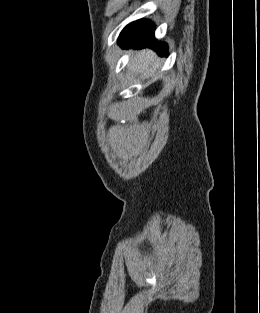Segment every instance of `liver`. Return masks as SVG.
<instances>
[{"label":"liver","mask_w":260,"mask_h":313,"mask_svg":"<svg viewBox=\"0 0 260 313\" xmlns=\"http://www.w3.org/2000/svg\"><path fill=\"white\" fill-rule=\"evenodd\" d=\"M161 63L156 61V55L149 49L136 52L128 64L130 74L140 76L141 78H149L155 76Z\"/></svg>","instance_id":"1"}]
</instances>
